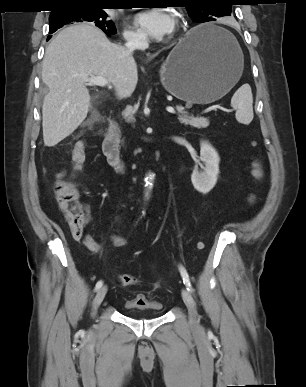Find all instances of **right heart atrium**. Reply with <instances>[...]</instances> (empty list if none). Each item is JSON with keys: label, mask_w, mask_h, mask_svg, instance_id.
Returning <instances> with one entry per match:
<instances>
[{"label": "right heart atrium", "mask_w": 306, "mask_h": 387, "mask_svg": "<svg viewBox=\"0 0 306 387\" xmlns=\"http://www.w3.org/2000/svg\"><path fill=\"white\" fill-rule=\"evenodd\" d=\"M123 36L126 41L131 43L141 42L144 39L141 33L131 29H125L123 32Z\"/></svg>", "instance_id": "obj_1"}]
</instances>
